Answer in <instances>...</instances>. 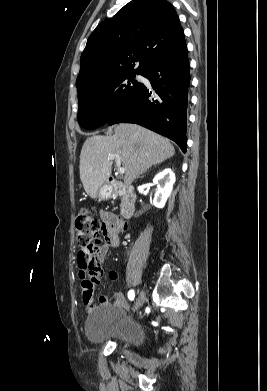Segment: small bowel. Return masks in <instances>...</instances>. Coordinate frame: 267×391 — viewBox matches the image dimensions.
<instances>
[{"label": "small bowel", "mask_w": 267, "mask_h": 391, "mask_svg": "<svg viewBox=\"0 0 267 391\" xmlns=\"http://www.w3.org/2000/svg\"><path fill=\"white\" fill-rule=\"evenodd\" d=\"M100 216L104 222L103 235L105 238L104 245L100 251L91 255L89 253L78 254L79 278L81 280L82 298L84 306L87 310H91L94 305V286L99 284L103 278L102 264L111 247L118 246L119 234L126 231L128 225L126 222L118 219L113 213L101 211ZM111 280L118 277L117 272L111 271L108 274ZM99 300L103 304L110 303L104 296H100ZM122 302L121 295L115 294L113 304Z\"/></svg>", "instance_id": "small-bowel-1"}]
</instances>
